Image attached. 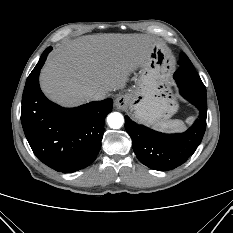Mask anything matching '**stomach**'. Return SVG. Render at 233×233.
<instances>
[{
	"label": "stomach",
	"instance_id": "0dacf381",
	"mask_svg": "<svg viewBox=\"0 0 233 233\" xmlns=\"http://www.w3.org/2000/svg\"><path fill=\"white\" fill-rule=\"evenodd\" d=\"M172 59L162 43H156L149 59L140 67L135 84L126 94L136 120L145 124L166 121L178 109L169 87Z\"/></svg>",
	"mask_w": 233,
	"mask_h": 233
}]
</instances>
